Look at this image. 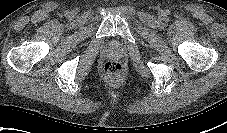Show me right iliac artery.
I'll use <instances>...</instances> for the list:
<instances>
[{"instance_id": "obj_1", "label": "right iliac artery", "mask_w": 227, "mask_h": 133, "mask_svg": "<svg viewBox=\"0 0 227 133\" xmlns=\"http://www.w3.org/2000/svg\"><path fill=\"white\" fill-rule=\"evenodd\" d=\"M69 12H66L65 15H68Z\"/></svg>"}]
</instances>
